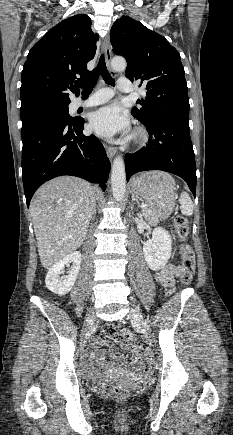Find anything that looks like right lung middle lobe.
<instances>
[{
    "label": "right lung middle lobe",
    "instance_id": "right-lung-middle-lobe-1",
    "mask_svg": "<svg viewBox=\"0 0 233 435\" xmlns=\"http://www.w3.org/2000/svg\"><path fill=\"white\" fill-rule=\"evenodd\" d=\"M48 120H63L67 122H72L75 121L76 118H72L69 116L67 105L46 108L31 114L21 116L22 130L28 129Z\"/></svg>",
    "mask_w": 233,
    "mask_h": 435
}]
</instances>
